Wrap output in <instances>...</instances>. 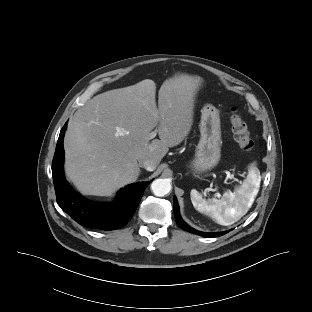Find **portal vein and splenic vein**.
Returning a JSON list of instances; mask_svg holds the SVG:
<instances>
[{"instance_id": "portal-vein-and-splenic-vein-1", "label": "portal vein and splenic vein", "mask_w": 312, "mask_h": 312, "mask_svg": "<svg viewBox=\"0 0 312 312\" xmlns=\"http://www.w3.org/2000/svg\"><path fill=\"white\" fill-rule=\"evenodd\" d=\"M156 135H157V130H154L151 133H149L148 139L151 140V139L155 138Z\"/></svg>"}]
</instances>
